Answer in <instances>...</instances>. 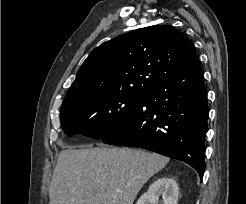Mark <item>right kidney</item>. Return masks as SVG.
Returning a JSON list of instances; mask_svg holds the SVG:
<instances>
[{"label":"right kidney","instance_id":"1","mask_svg":"<svg viewBox=\"0 0 246 204\" xmlns=\"http://www.w3.org/2000/svg\"><path fill=\"white\" fill-rule=\"evenodd\" d=\"M179 188L172 178L161 177L155 180L136 204H158L162 196L163 204H177Z\"/></svg>","mask_w":246,"mask_h":204}]
</instances>
